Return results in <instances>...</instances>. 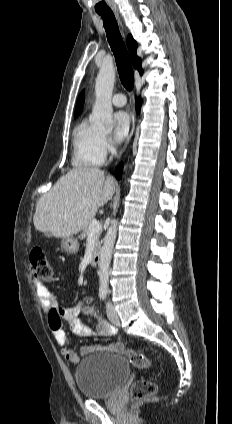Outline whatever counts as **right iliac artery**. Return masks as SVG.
Instances as JSON below:
<instances>
[{
    "label": "right iliac artery",
    "mask_w": 232,
    "mask_h": 424,
    "mask_svg": "<svg viewBox=\"0 0 232 424\" xmlns=\"http://www.w3.org/2000/svg\"><path fill=\"white\" fill-rule=\"evenodd\" d=\"M99 297H100V299H101V300H104V299H105V297H106V294L101 293V294L99 295Z\"/></svg>",
    "instance_id": "82829eb1"
}]
</instances>
